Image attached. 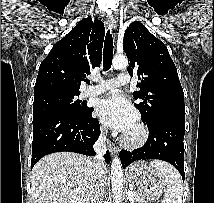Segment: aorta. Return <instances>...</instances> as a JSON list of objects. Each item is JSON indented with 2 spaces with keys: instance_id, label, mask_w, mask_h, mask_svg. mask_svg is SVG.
<instances>
[{
  "instance_id": "aorta-1",
  "label": "aorta",
  "mask_w": 214,
  "mask_h": 203,
  "mask_svg": "<svg viewBox=\"0 0 214 203\" xmlns=\"http://www.w3.org/2000/svg\"><path fill=\"white\" fill-rule=\"evenodd\" d=\"M114 69H124L128 66V59L125 55H116L112 60ZM111 182L114 203H121L123 193V170L119 158H114L111 163Z\"/></svg>"
}]
</instances>
